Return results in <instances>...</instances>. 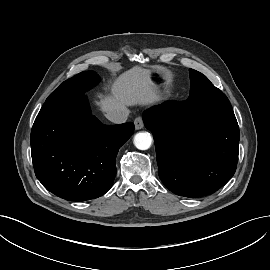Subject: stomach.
Wrapping results in <instances>:
<instances>
[{
  "mask_svg": "<svg viewBox=\"0 0 270 270\" xmlns=\"http://www.w3.org/2000/svg\"><path fill=\"white\" fill-rule=\"evenodd\" d=\"M151 76L154 81L157 83L156 88L160 93L165 92V87L168 84L170 74L167 70L162 67H153L150 70Z\"/></svg>",
  "mask_w": 270,
  "mask_h": 270,
  "instance_id": "obj_1",
  "label": "stomach"
}]
</instances>
